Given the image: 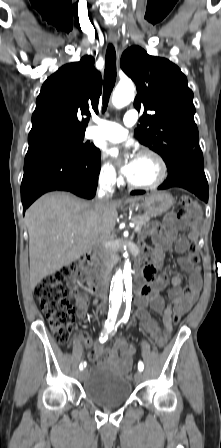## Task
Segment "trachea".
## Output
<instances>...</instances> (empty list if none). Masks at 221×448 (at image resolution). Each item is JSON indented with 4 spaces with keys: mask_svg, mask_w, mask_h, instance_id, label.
<instances>
[{
    "mask_svg": "<svg viewBox=\"0 0 221 448\" xmlns=\"http://www.w3.org/2000/svg\"><path fill=\"white\" fill-rule=\"evenodd\" d=\"M116 75H117V73H116V52H115L113 45L109 44L107 51H106V58H105L103 108H102L103 113L105 112V110L107 108L111 92L115 85Z\"/></svg>",
    "mask_w": 221,
    "mask_h": 448,
    "instance_id": "trachea-1",
    "label": "trachea"
}]
</instances>
